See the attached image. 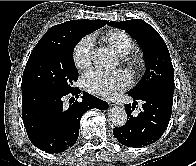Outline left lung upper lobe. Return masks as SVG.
Returning a JSON list of instances; mask_svg holds the SVG:
<instances>
[{"mask_svg":"<svg viewBox=\"0 0 196 166\" xmlns=\"http://www.w3.org/2000/svg\"><path fill=\"white\" fill-rule=\"evenodd\" d=\"M109 26L125 30L142 49L146 71L128 94L139 96L150 91L174 93V71L168 48L159 33L141 19L111 21Z\"/></svg>","mask_w":196,"mask_h":166,"instance_id":"1","label":"left lung upper lobe"}]
</instances>
